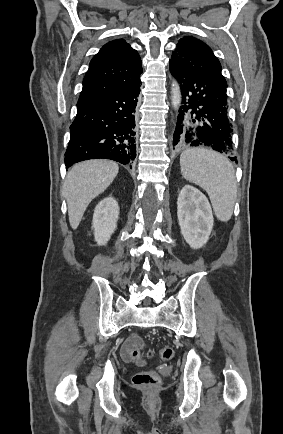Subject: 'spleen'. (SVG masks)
I'll return each mask as SVG.
<instances>
[{
  "label": "spleen",
  "instance_id": "spleen-1",
  "mask_svg": "<svg viewBox=\"0 0 283 434\" xmlns=\"http://www.w3.org/2000/svg\"><path fill=\"white\" fill-rule=\"evenodd\" d=\"M181 173L209 195L217 218L227 222L237 195L235 171L230 161L208 149H187L180 156Z\"/></svg>",
  "mask_w": 283,
  "mask_h": 434
}]
</instances>
